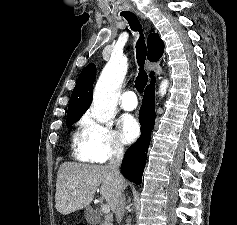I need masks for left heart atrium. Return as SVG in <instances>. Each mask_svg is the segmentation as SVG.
Listing matches in <instances>:
<instances>
[{
	"label": "left heart atrium",
	"mask_w": 237,
	"mask_h": 225,
	"mask_svg": "<svg viewBox=\"0 0 237 225\" xmlns=\"http://www.w3.org/2000/svg\"><path fill=\"white\" fill-rule=\"evenodd\" d=\"M119 128L125 143L134 142L140 134L139 123L132 115H123L119 120Z\"/></svg>",
	"instance_id": "left-heart-atrium-1"
}]
</instances>
